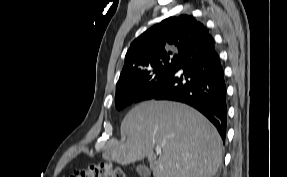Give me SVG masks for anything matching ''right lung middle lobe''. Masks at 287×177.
Listing matches in <instances>:
<instances>
[{
  "instance_id": "obj_1",
  "label": "right lung middle lobe",
  "mask_w": 287,
  "mask_h": 177,
  "mask_svg": "<svg viewBox=\"0 0 287 177\" xmlns=\"http://www.w3.org/2000/svg\"><path fill=\"white\" fill-rule=\"evenodd\" d=\"M178 64V58H166L154 63L133 84L116 87L115 106L118 110L135 102L151 85L162 79Z\"/></svg>"
}]
</instances>
